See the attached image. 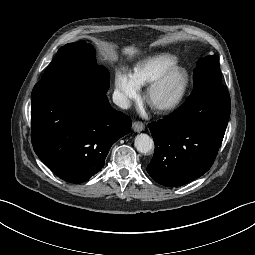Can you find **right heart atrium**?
<instances>
[{
    "mask_svg": "<svg viewBox=\"0 0 255 255\" xmlns=\"http://www.w3.org/2000/svg\"><path fill=\"white\" fill-rule=\"evenodd\" d=\"M115 88L118 101L122 106H128L139 95L140 85L133 73L120 68L115 74Z\"/></svg>",
    "mask_w": 255,
    "mask_h": 255,
    "instance_id": "obj_1",
    "label": "right heart atrium"
}]
</instances>
